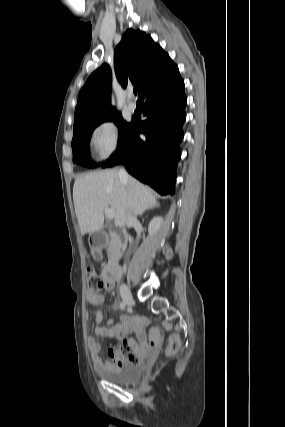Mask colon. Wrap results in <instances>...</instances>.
I'll use <instances>...</instances> for the list:
<instances>
[{"instance_id": "5ec220e1", "label": "colon", "mask_w": 285, "mask_h": 427, "mask_svg": "<svg viewBox=\"0 0 285 427\" xmlns=\"http://www.w3.org/2000/svg\"><path fill=\"white\" fill-rule=\"evenodd\" d=\"M100 244V241L96 242ZM86 285L90 291L97 292L103 289L104 282L98 273L88 268L86 270ZM160 341V332L156 327H152L149 332V345L151 347H157ZM179 347V339L176 335H172L169 339V351H175ZM141 348L132 340L123 343L121 348L122 359L128 362H134L140 356Z\"/></svg>"}]
</instances>
